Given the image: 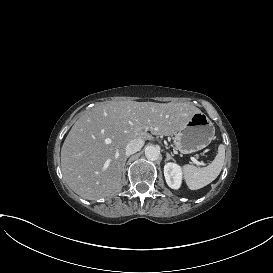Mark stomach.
<instances>
[{"mask_svg":"<svg viewBox=\"0 0 273 273\" xmlns=\"http://www.w3.org/2000/svg\"><path fill=\"white\" fill-rule=\"evenodd\" d=\"M215 136V127L204 113H196L174 137L182 153H192L207 147Z\"/></svg>","mask_w":273,"mask_h":273,"instance_id":"1","label":"stomach"}]
</instances>
